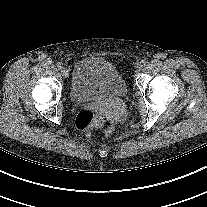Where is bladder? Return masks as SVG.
<instances>
[{"mask_svg":"<svg viewBox=\"0 0 207 207\" xmlns=\"http://www.w3.org/2000/svg\"><path fill=\"white\" fill-rule=\"evenodd\" d=\"M129 86L122 73L99 57L80 59L73 69L70 94L76 103L124 99Z\"/></svg>","mask_w":207,"mask_h":207,"instance_id":"bladder-1","label":"bladder"}]
</instances>
